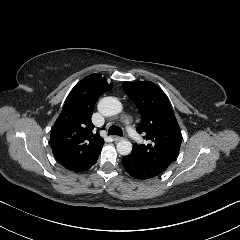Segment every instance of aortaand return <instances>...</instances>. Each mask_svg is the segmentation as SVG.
Here are the masks:
<instances>
[{
    "mask_svg": "<svg viewBox=\"0 0 240 240\" xmlns=\"http://www.w3.org/2000/svg\"><path fill=\"white\" fill-rule=\"evenodd\" d=\"M98 110L106 117L116 116L123 112L124 107L122 102L116 97H105L98 103ZM132 143L128 139L120 140L117 143V150L121 155H128L132 151Z\"/></svg>",
    "mask_w": 240,
    "mask_h": 240,
    "instance_id": "aorta-1",
    "label": "aorta"
}]
</instances>
